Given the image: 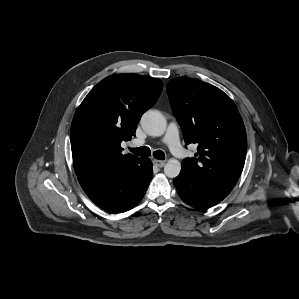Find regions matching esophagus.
<instances>
[{
    "label": "esophagus",
    "instance_id": "esophagus-1",
    "mask_svg": "<svg viewBox=\"0 0 299 299\" xmlns=\"http://www.w3.org/2000/svg\"><path fill=\"white\" fill-rule=\"evenodd\" d=\"M154 165H156L159 168H162L165 165V161H161V160H153Z\"/></svg>",
    "mask_w": 299,
    "mask_h": 299
}]
</instances>
